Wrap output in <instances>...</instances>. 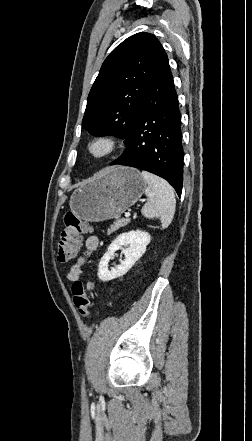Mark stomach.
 <instances>
[{
	"label": "stomach",
	"mask_w": 252,
	"mask_h": 441,
	"mask_svg": "<svg viewBox=\"0 0 252 441\" xmlns=\"http://www.w3.org/2000/svg\"><path fill=\"white\" fill-rule=\"evenodd\" d=\"M145 188L139 170L125 166L109 168L73 192L70 209L89 222L117 218L137 202Z\"/></svg>",
	"instance_id": "0dacf381"
}]
</instances>
